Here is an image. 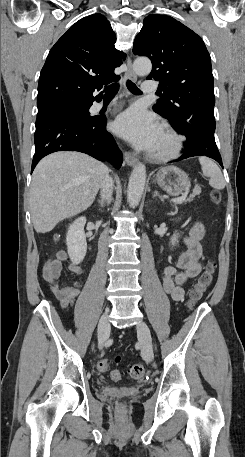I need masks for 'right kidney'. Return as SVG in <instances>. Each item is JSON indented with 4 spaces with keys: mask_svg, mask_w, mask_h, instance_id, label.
I'll list each match as a JSON object with an SVG mask.
<instances>
[{
    "mask_svg": "<svg viewBox=\"0 0 245 457\" xmlns=\"http://www.w3.org/2000/svg\"><path fill=\"white\" fill-rule=\"evenodd\" d=\"M86 222V216H79L72 224H70L67 237L66 245L68 249V255L73 265H80L84 261V257L87 253L86 235L84 226Z\"/></svg>",
    "mask_w": 245,
    "mask_h": 457,
    "instance_id": "ca27d5eb",
    "label": "right kidney"
}]
</instances>
